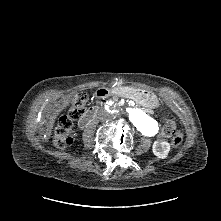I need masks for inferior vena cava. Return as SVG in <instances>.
Instances as JSON below:
<instances>
[{
	"mask_svg": "<svg viewBox=\"0 0 221 221\" xmlns=\"http://www.w3.org/2000/svg\"><path fill=\"white\" fill-rule=\"evenodd\" d=\"M98 119L101 121H105V120L109 119V115L101 113L98 115Z\"/></svg>",
	"mask_w": 221,
	"mask_h": 221,
	"instance_id": "inferior-vena-cava-1",
	"label": "inferior vena cava"
}]
</instances>
